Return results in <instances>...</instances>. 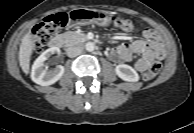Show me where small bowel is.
Returning a JSON list of instances; mask_svg holds the SVG:
<instances>
[{"label": "small bowel", "mask_w": 194, "mask_h": 133, "mask_svg": "<svg viewBox=\"0 0 194 133\" xmlns=\"http://www.w3.org/2000/svg\"><path fill=\"white\" fill-rule=\"evenodd\" d=\"M143 36L144 39L118 45L109 53L110 58L117 63H126L131 62L134 55H139L134 68L139 72L148 70L154 62L165 57V47L155 30L147 28Z\"/></svg>", "instance_id": "1"}]
</instances>
